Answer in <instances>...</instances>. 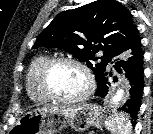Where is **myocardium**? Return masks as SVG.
Returning a JSON list of instances; mask_svg holds the SVG:
<instances>
[{"mask_svg":"<svg viewBox=\"0 0 153 134\" xmlns=\"http://www.w3.org/2000/svg\"><path fill=\"white\" fill-rule=\"evenodd\" d=\"M59 64H71L82 70L86 77V89L85 91L72 98H65L55 94L49 87L48 79L51 70ZM39 88L42 94L50 101L63 103V104H79L86 101L93 93L94 90V78L90 68L82 61L71 57H54L48 59L42 66L38 77Z\"/></svg>","mask_w":153,"mask_h":134,"instance_id":"f54148a6","label":"myocardium"}]
</instances>
